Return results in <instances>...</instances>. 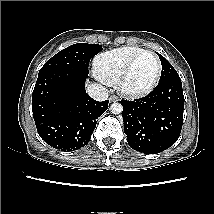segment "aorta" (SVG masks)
<instances>
[{"label": "aorta", "instance_id": "aorta-1", "mask_svg": "<svg viewBox=\"0 0 214 214\" xmlns=\"http://www.w3.org/2000/svg\"><path fill=\"white\" fill-rule=\"evenodd\" d=\"M110 110L113 114H120L123 111V107L120 103H113L110 106Z\"/></svg>", "mask_w": 214, "mask_h": 214}]
</instances>
